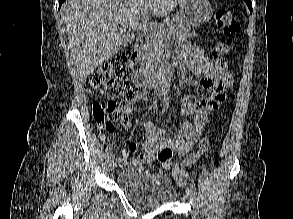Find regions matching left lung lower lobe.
<instances>
[{"label": "left lung lower lobe", "mask_w": 293, "mask_h": 219, "mask_svg": "<svg viewBox=\"0 0 293 219\" xmlns=\"http://www.w3.org/2000/svg\"><path fill=\"white\" fill-rule=\"evenodd\" d=\"M250 10V12H252V3H251V0H244Z\"/></svg>", "instance_id": "obj_1"}]
</instances>
